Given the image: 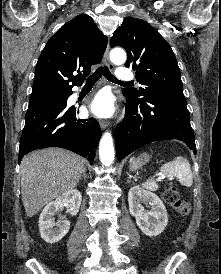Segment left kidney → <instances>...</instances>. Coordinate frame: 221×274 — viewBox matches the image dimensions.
I'll list each match as a JSON object with an SVG mask.
<instances>
[{"mask_svg":"<svg viewBox=\"0 0 221 274\" xmlns=\"http://www.w3.org/2000/svg\"><path fill=\"white\" fill-rule=\"evenodd\" d=\"M129 211L136 218V224L147 236L161 234L168 224L166 208L160 198L139 186H133L128 193ZM141 203L149 204L151 210L146 211Z\"/></svg>","mask_w":221,"mask_h":274,"instance_id":"obj_1","label":"left kidney"}]
</instances>
